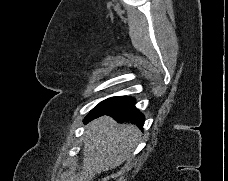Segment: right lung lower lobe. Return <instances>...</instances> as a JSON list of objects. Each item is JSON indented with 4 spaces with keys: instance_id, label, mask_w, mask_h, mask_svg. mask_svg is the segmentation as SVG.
I'll return each instance as SVG.
<instances>
[{
    "instance_id": "1",
    "label": "right lung lower lobe",
    "mask_w": 228,
    "mask_h": 181,
    "mask_svg": "<svg viewBox=\"0 0 228 181\" xmlns=\"http://www.w3.org/2000/svg\"><path fill=\"white\" fill-rule=\"evenodd\" d=\"M110 115L118 122H131L136 124L141 130L144 124V116L135 108V100L132 97H116L106 104L94 108L85 118V122L100 117Z\"/></svg>"
}]
</instances>
